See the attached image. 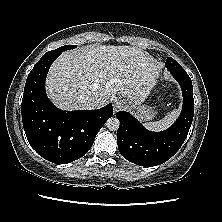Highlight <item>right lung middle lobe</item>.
<instances>
[{"label": "right lung middle lobe", "instance_id": "right-lung-middle-lobe-1", "mask_svg": "<svg viewBox=\"0 0 222 222\" xmlns=\"http://www.w3.org/2000/svg\"><path fill=\"white\" fill-rule=\"evenodd\" d=\"M76 47H77V45H65V46H62V47L57 48L55 50L49 51L47 53H59V54H61L65 50L74 49ZM47 53H45V54H47Z\"/></svg>", "mask_w": 222, "mask_h": 222}]
</instances>
